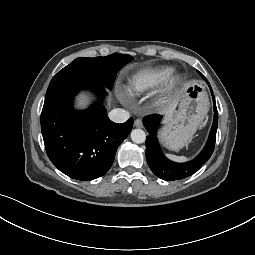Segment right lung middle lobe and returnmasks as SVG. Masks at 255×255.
Masks as SVG:
<instances>
[{"label": "right lung middle lobe", "instance_id": "1", "mask_svg": "<svg viewBox=\"0 0 255 255\" xmlns=\"http://www.w3.org/2000/svg\"><path fill=\"white\" fill-rule=\"evenodd\" d=\"M132 60L133 57L130 55L120 53L106 57H80L60 70L50 84L69 80H86L112 89L117 72Z\"/></svg>", "mask_w": 255, "mask_h": 255}]
</instances>
